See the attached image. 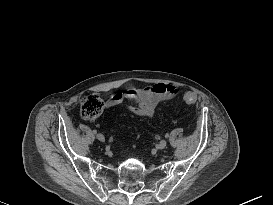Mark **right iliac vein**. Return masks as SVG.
Wrapping results in <instances>:
<instances>
[{
  "mask_svg": "<svg viewBox=\"0 0 273 205\" xmlns=\"http://www.w3.org/2000/svg\"><path fill=\"white\" fill-rule=\"evenodd\" d=\"M96 137H97V139H98L99 141H101V142H104V141H105V137H104V135L101 134V133L97 134Z\"/></svg>",
  "mask_w": 273,
  "mask_h": 205,
  "instance_id": "1",
  "label": "right iliac vein"
}]
</instances>
